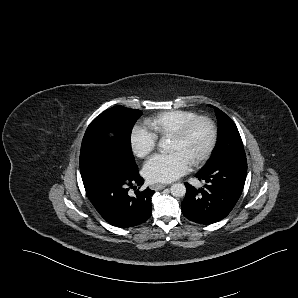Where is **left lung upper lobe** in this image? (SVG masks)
Listing matches in <instances>:
<instances>
[{
  "mask_svg": "<svg viewBox=\"0 0 298 298\" xmlns=\"http://www.w3.org/2000/svg\"><path fill=\"white\" fill-rule=\"evenodd\" d=\"M215 113L219 124V138L214 154L206 166L214 164L232 154L245 152L235 123L216 107Z\"/></svg>",
  "mask_w": 298,
  "mask_h": 298,
  "instance_id": "5c2ea615",
  "label": "left lung upper lobe"
}]
</instances>
